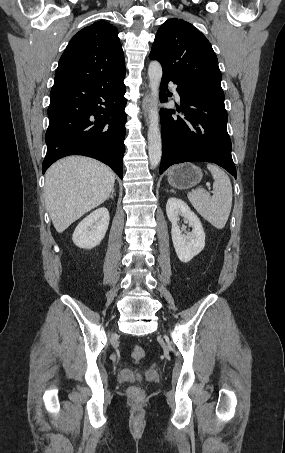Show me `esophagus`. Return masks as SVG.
<instances>
[{"mask_svg":"<svg viewBox=\"0 0 285 453\" xmlns=\"http://www.w3.org/2000/svg\"><path fill=\"white\" fill-rule=\"evenodd\" d=\"M150 106H151V94H150L149 88L147 87L145 96L142 101V110H143V115H144V119H145L146 123H148V113L150 110Z\"/></svg>","mask_w":285,"mask_h":453,"instance_id":"34e87169","label":"esophagus"}]
</instances>
